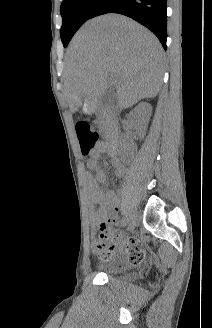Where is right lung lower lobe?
Instances as JSON below:
<instances>
[{
  "label": "right lung lower lobe",
  "instance_id": "right-lung-lower-lobe-1",
  "mask_svg": "<svg viewBox=\"0 0 212 328\" xmlns=\"http://www.w3.org/2000/svg\"><path fill=\"white\" fill-rule=\"evenodd\" d=\"M111 12L131 17L146 26L158 37L166 50V0H100L90 18Z\"/></svg>",
  "mask_w": 212,
  "mask_h": 328
}]
</instances>
